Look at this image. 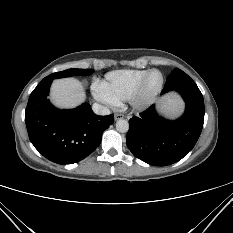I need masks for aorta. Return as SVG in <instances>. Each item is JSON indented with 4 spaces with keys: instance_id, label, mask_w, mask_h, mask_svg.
I'll use <instances>...</instances> for the list:
<instances>
[{
    "instance_id": "obj_1",
    "label": "aorta",
    "mask_w": 233,
    "mask_h": 233,
    "mask_svg": "<svg viewBox=\"0 0 233 233\" xmlns=\"http://www.w3.org/2000/svg\"><path fill=\"white\" fill-rule=\"evenodd\" d=\"M116 129L120 133H126L129 130V123L124 119H120L116 122Z\"/></svg>"
}]
</instances>
